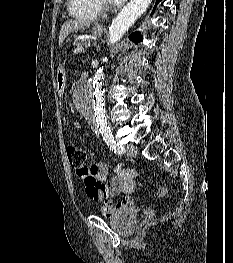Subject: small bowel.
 Masks as SVG:
<instances>
[{"label": "small bowel", "mask_w": 233, "mask_h": 263, "mask_svg": "<svg viewBox=\"0 0 233 263\" xmlns=\"http://www.w3.org/2000/svg\"><path fill=\"white\" fill-rule=\"evenodd\" d=\"M88 174L81 177L87 196L101 203V212L110 216L116 210L129 208L133 205L132 194L138 188V175L134 169L119 166L117 175L109 177V167L99 162L88 167ZM122 195V199L114 206L113 199Z\"/></svg>", "instance_id": "c3829d8e"}]
</instances>
